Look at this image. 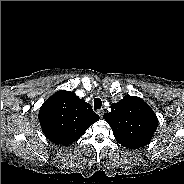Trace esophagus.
<instances>
[{
	"instance_id": "1",
	"label": "esophagus",
	"mask_w": 184,
	"mask_h": 184,
	"mask_svg": "<svg viewBox=\"0 0 184 184\" xmlns=\"http://www.w3.org/2000/svg\"><path fill=\"white\" fill-rule=\"evenodd\" d=\"M97 113H98V115H99L100 117H103L104 110H103V109H100V110L97 111Z\"/></svg>"
}]
</instances>
